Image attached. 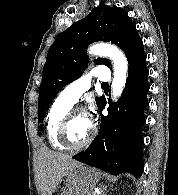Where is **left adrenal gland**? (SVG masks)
<instances>
[{
  "instance_id": "left-adrenal-gland-1",
  "label": "left adrenal gland",
  "mask_w": 178,
  "mask_h": 195,
  "mask_svg": "<svg viewBox=\"0 0 178 195\" xmlns=\"http://www.w3.org/2000/svg\"><path fill=\"white\" fill-rule=\"evenodd\" d=\"M106 187H102L101 188V195H106Z\"/></svg>"
}]
</instances>
